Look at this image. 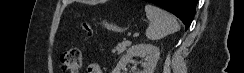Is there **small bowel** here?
I'll return each instance as SVG.
<instances>
[{
    "mask_svg": "<svg viewBox=\"0 0 244 73\" xmlns=\"http://www.w3.org/2000/svg\"><path fill=\"white\" fill-rule=\"evenodd\" d=\"M87 73H102V71L97 63H91L87 67Z\"/></svg>",
    "mask_w": 244,
    "mask_h": 73,
    "instance_id": "c3829d8e",
    "label": "small bowel"
}]
</instances>
